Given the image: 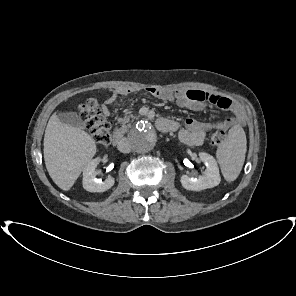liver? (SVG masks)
<instances>
[{
  "label": "liver",
  "instance_id": "1",
  "mask_svg": "<svg viewBox=\"0 0 296 296\" xmlns=\"http://www.w3.org/2000/svg\"><path fill=\"white\" fill-rule=\"evenodd\" d=\"M95 140L85 131L50 117L44 135V160L54 183L70 190L84 167L96 154Z\"/></svg>",
  "mask_w": 296,
  "mask_h": 296
}]
</instances>
